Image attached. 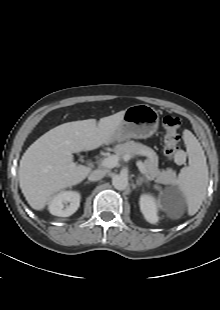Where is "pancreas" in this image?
<instances>
[{
  "label": "pancreas",
  "mask_w": 220,
  "mask_h": 310,
  "mask_svg": "<svg viewBox=\"0 0 220 310\" xmlns=\"http://www.w3.org/2000/svg\"><path fill=\"white\" fill-rule=\"evenodd\" d=\"M115 153L118 157L124 155H143L148 159L143 163L146 175L150 180L164 185H173L176 182V172L172 169L162 170L158 169V156L151 148L134 141H127L115 148Z\"/></svg>",
  "instance_id": "cf45deb5"
}]
</instances>
